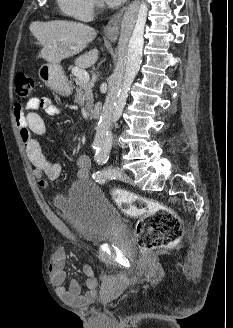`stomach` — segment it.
<instances>
[{"instance_id":"stomach-1","label":"stomach","mask_w":233,"mask_h":328,"mask_svg":"<svg viewBox=\"0 0 233 328\" xmlns=\"http://www.w3.org/2000/svg\"><path fill=\"white\" fill-rule=\"evenodd\" d=\"M40 79L53 91L68 96L72 92L62 66L58 63L44 64L39 68Z\"/></svg>"}]
</instances>
